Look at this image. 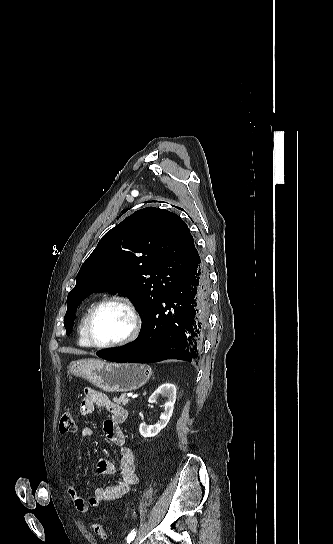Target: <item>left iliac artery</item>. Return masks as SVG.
<instances>
[{
    "mask_svg": "<svg viewBox=\"0 0 333 544\" xmlns=\"http://www.w3.org/2000/svg\"><path fill=\"white\" fill-rule=\"evenodd\" d=\"M135 536H136V530L131 531L127 536V543H130L131 541H133Z\"/></svg>",
    "mask_w": 333,
    "mask_h": 544,
    "instance_id": "left-iliac-artery-1",
    "label": "left iliac artery"
}]
</instances>
